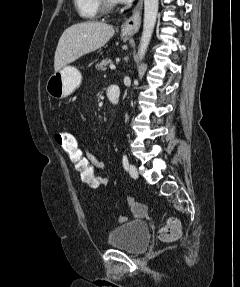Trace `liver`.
Wrapping results in <instances>:
<instances>
[{"mask_svg":"<svg viewBox=\"0 0 240 287\" xmlns=\"http://www.w3.org/2000/svg\"><path fill=\"white\" fill-rule=\"evenodd\" d=\"M114 32L112 25L98 21H86L68 27L61 35L56 48L55 72L81 56L101 48Z\"/></svg>","mask_w":240,"mask_h":287,"instance_id":"obj_1","label":"liver"}]
</instances>
